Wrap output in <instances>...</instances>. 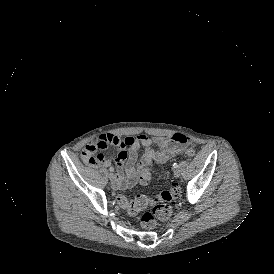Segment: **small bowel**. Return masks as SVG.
Instances as JSON below:
<instances>
[{
    "mask_svg": "<svg viewBox=\"0 0 274 274\" xmlns=\"http://www.w3.org/2000/svg\"><path fill=\"white\" fill-rule=\"evenodd\" d=\"M108 145L119 147L114 158L116 169L113 176V186L117 189H129L136 184L138 174L146 169L151 170L154 162L165 163L177 152L184 151L189 147V140L183 134L152 138L145 134H139L128 136L123 140L112 134H104L96 143L88 145L82 151L83 162L91 167H109L111 161L99 152ZM139 147L145 148L141 161H139L138 155ZM154 147H157L158 150Z\"/></svg>",
    "mask_w": 274,
    "mask_h": 274,
    "instance_id": "obj_1",
    "label": "small bowel"
}]
</instances>
